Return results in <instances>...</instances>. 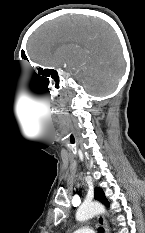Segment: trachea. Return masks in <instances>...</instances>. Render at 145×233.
Instances as JSON below:
<instances>
[{"mask_svg": "<svg viewBox=\"0 0 145 233\" xmlns=\"http://www.w3.org/2000/svg\"><path fill=\"white\" fill-rule=\"evenodd\" d=\"M98 233H104V228L100 227V228L98 229Z\"/></svg>", "mask_w": 145, "mask_h": 233, "instance_id": "1", "label": "trachea"}]
</instances>
